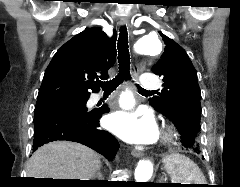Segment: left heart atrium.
<instances>
[{
  "label": "left heart atrium",
  "mask_w": 240,
  "mask_h": 187,
  "mask_svg": "<svg viewBox=\"0 0 240 187\" xmlns=\"http://www.w3.org/2000/svg\"><path fill=\"white\" fill-rule=\"evenodd\" d=\"M107 127L123 140L130 143H152L158 136V129L151 115L138 117L127 112H117L108 117Z\"/></svg>",
  "instance_id": "obj_1"
}]
</instances>
